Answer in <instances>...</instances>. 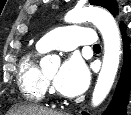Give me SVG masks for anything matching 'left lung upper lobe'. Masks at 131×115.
I'll return each mask as SVG.
<instances>
[{"mask_svg": "<svg viewBox=\"0 0 131 115\" xmlns=\"http://www.w3.org/2000/svg\"><path fill=\"white\" fill-rule=\"evenodd\" d=\"M91 5L101 6L109 10L112 15L118 13V7L115 0H89Z\"/></svg>", "mask_w": 131, "mask_h": 115, "instance_id": "left-lung-upper-lobe-1", "label": "left lung upper lobe"}]
</instances>
